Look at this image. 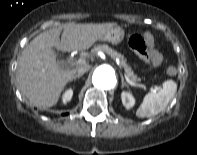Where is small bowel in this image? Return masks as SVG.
I'll use <instances>...</instances> for the list:
<instances>
[{
    "label": "small bowel",
    "mask_w": 197,
    "mask_h": 155,
    "mask_svg": "<svg viewBox=\"0 0 197 155\" xmlns=\"http://www.w3.org/2000/svg\"><path fill=\"white\" fill-rule=\"evenodd\" d=\"M147 39H148L149 41H151L150 35H147ZM142 55H143V58H144L145 61H147V62L151 61V57H150L149 54H142ZM159 55H160V54H159Z\"/></svg>",
    "instance_id": "obj_1"
}]
</instances>
